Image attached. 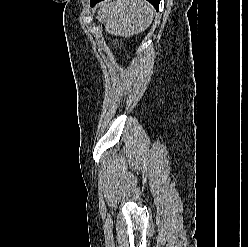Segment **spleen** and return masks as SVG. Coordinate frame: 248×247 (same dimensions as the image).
Listing matches in <instances>:
<instances>
[{
  "label": "spleen",
  "mask_w": 248,
  "mask_h": 247,
  "mask_svg": "<svg viewBox=\"0 0 248 247\" xmlns=\"http://www.w3.org/2000/svg\"><path fill=\"white\" fill-rule=\"evenodd\" d=\"M154 9L146 0H117L101 6L98 19L112 35L128 37L146 30Z\"/></svg>",
  "instance_id": "spleen-1"
}]
</instances>
